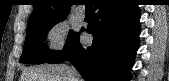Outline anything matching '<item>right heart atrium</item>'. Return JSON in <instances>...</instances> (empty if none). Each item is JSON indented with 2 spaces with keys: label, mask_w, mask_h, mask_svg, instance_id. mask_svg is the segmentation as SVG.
<instances>
[{
  "label": "right heart atrium",
  "mask_w": 169,
  "mask_h": 81,
  "mask_svg": "<svg viewBox=\"0 0 169 81\" xmlns=\"http://www.w3.org/2000/svg\"><path fill=\"white\" fill-rule=\"evenodd\" d=\"M69 25L63 19H58L50 24L46 37L48 47L52 52H60L68 42Z\"/></svg>",
  "instance_id": "1"
}]
</instances>
